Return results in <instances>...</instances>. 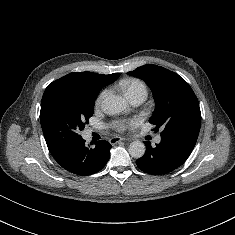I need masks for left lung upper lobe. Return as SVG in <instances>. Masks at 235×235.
<instances>
[{
  "label": "left lung upper lobe",
  "instance_id": "1",
  "mask_svg": "<svg viewBox=\"0 0 235 235\" xmlns=\"http://www.w3.org/2000/svg\"><path fill=\"white\" fill-rule=\"evenodd\" d=\"M151 89L155 112L149 122L163 128L161 136H188L197 139L201 112L196 95L178 74L157 65H144L128 72Z\"/></svg>",
  "mask_w": 235,
  "mask_h": 235
}]
</instances>
